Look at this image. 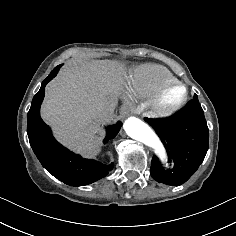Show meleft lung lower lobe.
I'll use <instances>...</instances> for the list:
<instances>
[{
	"label": "left lung lower lobe",
	"instance_id": "0a47b994",
	"mask_svg": "<svg viewBox=\"0 0 236 236\" xmlns=\"http://www.w3.org/2000/svg\"><path fill=\"white\" fill-rule=\"evenodd\" d=\"M145 121L158 134L174 162L173 170H165L154 156L151 176L167 185L183 184L199 168L208 150L209 130L197 95L178 113L162 119L145 118Z\"/></svg>",
	"mask_w": 236,
	"mask_h": 236
}]
</instances>
